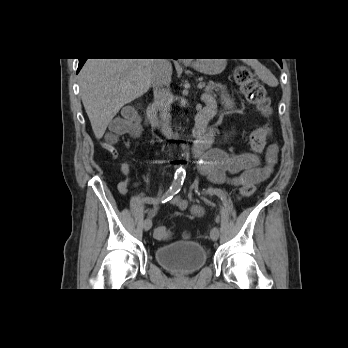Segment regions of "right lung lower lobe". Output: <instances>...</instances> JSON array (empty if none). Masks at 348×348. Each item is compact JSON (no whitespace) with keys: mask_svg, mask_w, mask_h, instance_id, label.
I'll return each mask as SVG.
<instances>
[{"mask_svg":"<svg viewBox=\"0 0 348 348\" xmlns=\"http://www.w3.org/2000/svg\"><path fill=\"white\" fill-rule=\"evenodd\" d=\"M86 60L87 59H79V66H78L77 73L80 71V69L82 68Z\"/></svg>","mask_w":348,"mask_h":348,"instance_id":"1","label":"right lung lower lobe"}]
</instances>
